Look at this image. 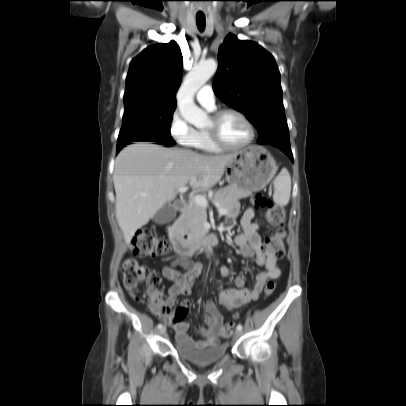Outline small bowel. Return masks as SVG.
Instances as JSON below:
<instances>
[{"label": "small bowel", "instance_id": "1", "mask_svg": "<svg viewBox=\"0 0 406 406\" xmlns=\"http://www.w3.org/2000/svg\"><path fill=\"white\" fill-rule=\"evenodd\" d=\"M238 206L233 204L226 214V222L230 223L238 215ZM255 212L253 208H248L240 219L242 232L234 238V243L240 253L248 258L255 260L257 265L263 267V271L256 276V283L252 289L246 286V280L243 276L235 279V288L220 287L219 302L227 310L233 311L250 301L259 299L264 287L269 281L277 279L281 272L277 265V257L274 252L266 248L262 237L260 236L259 224L253 221ZM176 266L186 268L184 274L180 273ZM202 266L199 263H190L185 258L176 259L171 266L163 269V276L174 282L168 291L166 300H162L155 290L151 295V302L154 308L163 314V320L170 324L174 331L176 340L188 346H211L218 344V333L224 324L225 317L217 309L215 304L209 300L205 304L206 315L204 322L206 327L198 328L202 336L201 340L195 341L187 333L189 322L185 320L174 321L176 311L171 313L170 310L176 302L178 295H189L192 292L195 279L201 272ZM220 275L223 277L230 276V270L227 266H221ZM190 302L184 300L179 308L188 310Z\"/></svg>", "mask_w": 406, "mask_h": 406}]
</instances>
